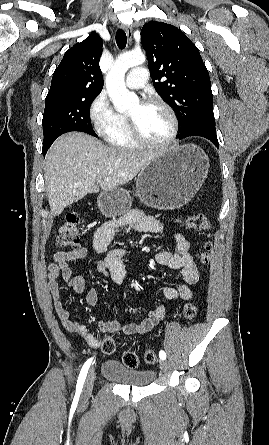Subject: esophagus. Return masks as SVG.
Listing matches in <instances>:
<instances>
[{
	"mask_svg": "<svg viewBox=\"0 0 269 445\" xmlns=\"http://www.w3.org/2000/svg\"><path fill=\"white\" fill-rule=\"evenodd\" d=\"M121 27L126 32L128 39L131 40L132 39V35H133V31H132L131 26H129V25H122Z\"/></svg>",
	"mask_w": 269,
	"mask_h": 445,
	"instance_id": "1",
	"label": "esophagus"
}]
</instances>
